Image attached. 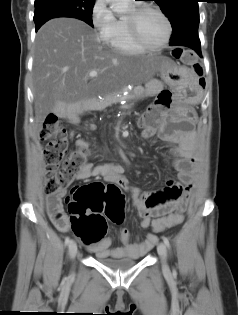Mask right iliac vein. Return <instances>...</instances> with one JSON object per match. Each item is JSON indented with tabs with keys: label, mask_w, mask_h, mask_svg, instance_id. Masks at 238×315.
Wrapping results in <instances>:
<instances>
[{
	"label": "right iliac vein",
	"mask_w": 238,
	"mask_h": 315,
	"mask_svg": "<svg viewBox=\"0 0 238 315\" xmlns=\"http://www.w3.org/2000/svg\"><path fill=\"white\" fill-rule=\"evenodd\" d=\"M69 254L71 256L72 259L75 258L76 254H77V244L74 241L70 242L69 245Z\"/></svg>",
	"instance_id": "obj_1"
}]
</instances>
